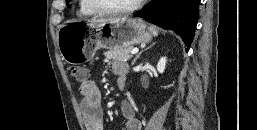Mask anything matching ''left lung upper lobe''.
I'll list each match as a JSON object with an SVG mask.
<instances>
[{"mask_svg": "<svg viewBox=\"0 0 257 130\" xmlns=\"http://www.w3.org/2000/svg\"><path fill=\"white\" fill-rule=\"evenodd\" d=\"M70 2V0H66V4H68Z\"/></svg>", "mask_w": 257, "mask_h": 130, "instance_id": "obj_1", "label": "left lung upper lobe"}]
</instances>
